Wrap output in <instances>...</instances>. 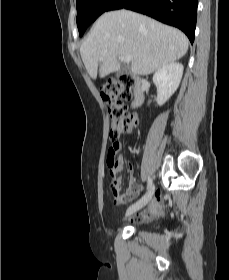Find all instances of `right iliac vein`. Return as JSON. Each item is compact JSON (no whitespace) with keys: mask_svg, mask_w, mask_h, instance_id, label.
<instances>
[{"mask_svg":"<svg viewBox=\"0 0 229 280\" xmlns=\"http://www.w3.org/2000/svg\"><path fill=\"white\" fill-rule=\"evenodd\" d=\"M153 192H154V187H151L148 193L144 197H142L140 200H138L136 203H134L127 209L126 216H129L134 212L143 208L150 201Z\"/></svg>","mask_w":229,"mask_h":280,"instance_id":"63e3f726","label":"right iliac vein"}]
</instances>
